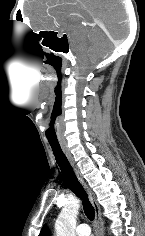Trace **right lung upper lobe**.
I'll return each instance as SVG.
<instances>
[{"mask_svg":"<svg viewBox=\"0 0 145 236\" xmlns=\"http://www.w3.org/2000/svg\"><path fill=\"white\" fill-rule=\"evenodd\" d=\"M39 236H51V233L46 225L43 226Z\"/></svg>","mask_w":145,"mask_h":236,"instance_id":"right-lung-upper-lobe-1","label":"right lung upper lobe"}]
</instances>
